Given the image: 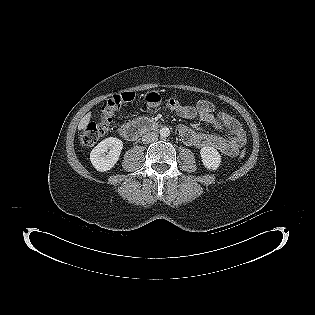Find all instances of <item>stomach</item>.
<instances>
[{"mask_svg":"<svg viewBox=\"0 0 315 315\" xmlns=\"http://www.w3.org/2000/svg\"><path fill=\"white\" fill-rule=\"evenodd\" d=\"M147 104L151 107H156L161 103V96L158 91H151L146 94Z\"/></svg>","mask_w":315,"mask_h":315,"instance_id":"stomach-1","label":"stomach"}]
</instances>
